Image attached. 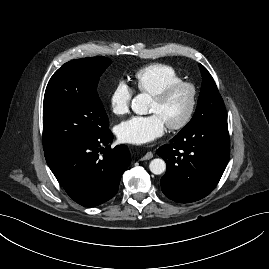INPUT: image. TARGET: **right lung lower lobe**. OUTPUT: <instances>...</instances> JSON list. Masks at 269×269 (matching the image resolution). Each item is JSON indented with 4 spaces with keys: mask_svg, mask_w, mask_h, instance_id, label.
<instances>
[{
    "mask_svg": "<svg viewBox=\"0 0 269 269\" xmlns=\"http://www.w3.org/2000/svg\"><path fill=\"white\" fill-rule=\"evenodd\" d=\"M113 141L108 129L103 135L77 145L45 152L48 166L67 194L85 207L98 206L115 196L131 156L126 145ZM107 146L106 149L102 146ZM100 154H103L102 156Z\"/></svg>",
    "mask_w": 269,
    "mask_h": 269,
    "instance_id": "1",
    "label": "right lung lower lobe"
}]
</instances>
